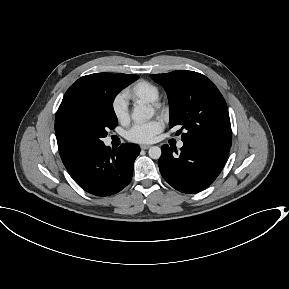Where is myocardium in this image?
I'll use <instances>...</instances> for the list:
<instances>
[{"label": "myocardium", "mask_w": 289, "mask_h": 289, "mask_svg": "<svg viewBox=\"0 0 289 289\" xmlns=\"http://www.w3.org/2000/svg\"><path fill=\"white\" fill-rule=\"evenodd\" d=\"M151 107L154 111L160 112V113H165L167 109L165 103L160 102L158 100L151 103Z\"/></svg>", "instance_id": "f54148a6"}]
</instances>
